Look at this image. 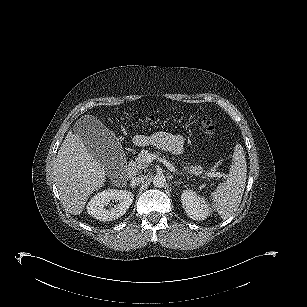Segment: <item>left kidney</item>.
<instances>
[{
  "label": "left kidney",
  "mask_w": 307,
  "mask_h": 307,
  "mask_svg": "<svg viewBox=\"0 0 307 307\" xmlns=\"http://www.w3.org/2000/svg\"><path fill=\"white\" fill-rule=\"evenodd\" d=\"M181 201L185 212L193 220L201 221L210 215L211 211L204 197H201L197 192L191 189L183 191Z\"/></svg>",
  "instance_id": "left-kidney-1"
}]
</instances>
